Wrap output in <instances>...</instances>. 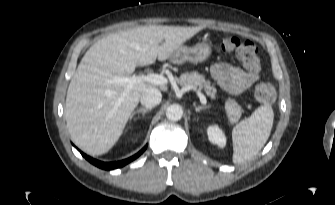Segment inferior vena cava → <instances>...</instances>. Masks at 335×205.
<instances>
[{
  "label": "inferior vena cava",
  "mask_w": 335,
  "mask_h": 205,
  "mask_svg": "<svg viewBox=\"0 0 335 205\" xmlns=\"http://www.w3.org/2000/svg\"><path fill=\"white\" fill-rule=\"evenodd\" d=\"M162 100L161 92L154 87L147 88L140 96L141 104L146 108L157 106Z\"/></svg>",
  "instance_id": "1"
}]
</instances>
